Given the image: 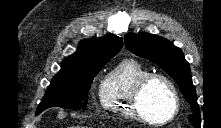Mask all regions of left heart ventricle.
<instances>
[{"label":"left heart ventricle","mask_w":221,"mask_h":128,"mask_svg":"<svg viewBox=\"0 0 221 128\" xmlns=\"http://www.w3.org/2000/svg\"><path fill=\"white\" fill-rule=\"evenodd\" d=\"M141 107L155 121H162L171 113L172 103L167 86L161 80L151 81L141 95Z\"/></svg>","instance_id":"1"}]
</instances>
